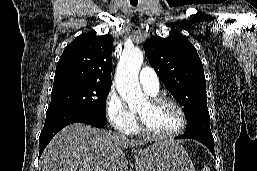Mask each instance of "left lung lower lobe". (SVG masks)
I'll return each instance as SVG.
<instances>
[{
    "label": "left lung lower lobe",
    "instance_id": "obj_1",
    "mask_svg": "<svg viewBox=\"0 0 257 171\" xmlns=\"http://www.w3.org/2000/svg\"><path fill=\"white\" fill-rule=\"evenodd\" d=\"M188 138L195 139V140L201 142L215 156L214 139H213L212 133L190 132V133H185L181 136L176 137V139H188Z\"/></svg>",
    "mask_w": 257,
    "mask_h": 171
}]
</instances>
